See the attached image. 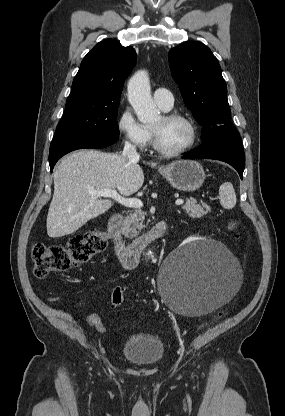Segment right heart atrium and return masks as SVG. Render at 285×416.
<instances>
[{"label":"right heart atrium","mask_w":285,"mask_h":416,"mask_svg":"<svg viewBox=\"0 0 285 416\" xmlns=\"http://www.w3.org/2000/svg\"><path fill=\"white\" fill-rule=\"evenodd\" d=\"M118 128L123 138L132 146L140 150L149 146L151 141L150 131L135 117L130 107L127 106L121 110Z\"/></svg>","instance_id":"1"}]
</instances>
